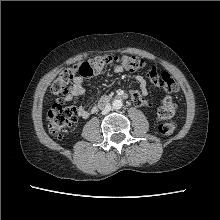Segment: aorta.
Listing matches in <instances>:
<instances>
[{"instance_id": "762f6f07", "label": "aorta", "mask_w": 220, "mask_h": 220, "mask_svg": "<svg viewBox=\"0 0 220 220\" xmlns=\"http://www.w3.org/2000/svg\"><path fill=\"white\" fill-rule=\"evenodd\" d=\"M122 106H123L122 101H121V100H118V99L114 100L113 103H112V107H113V109H115V110L121 109Z\"/></svg>"}]
</instances>
